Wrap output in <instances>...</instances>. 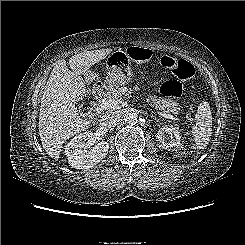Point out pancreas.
Returning <instances> with one entry per match:
<instances>
[{"label": "pancreas", "mask_w": 245, "mask_h": 245, "mask_svg": "<svg viewBox=\"0 0 245 245\" xmlns=\"http://www.w3.org/2000/svg\"><path fill=\"white\" fill-rule=\"evenodd\" d=\"M129 93H131V89H128L127 87H121L118 90H112L107 92L104 95V100L118 99L122 95H128ZM147 101L150 102L151 107H155L163 113L168 114L170 112L171 104L166 100L157 98L156 96H149Z\"/></svg>", "instance_id": "cf45deb5"}]
</instances>
